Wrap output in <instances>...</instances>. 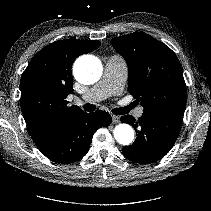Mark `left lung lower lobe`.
Instances as JSON below:
<instances>
[{
	"label": "left lung lower lobe",
	"instance_id": "left-lung-lower-lobe-1",
	"mask_svg": "<svg viewBox=\"0 0 211 211\" xmlns=\"http://www.w3.org/2000/svg\"><path fill=\"white\" fill-rule=\"evenodd\" d=\"M184 111L163 109L144 111L136 121L131 115L120 118L135 128L137 138L132 145L125 146L122 153L129 160L149 164L163 158L174 145L182 124Z\"/></svg>",
	"mask_w": 211,
	"mask_h": 211
}]
</instances>
